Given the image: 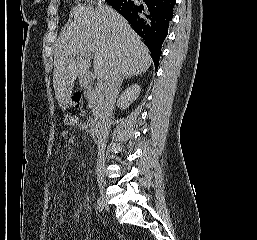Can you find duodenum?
<instances>
[{"label":"duodenum","instance_id":"1","mask_svg":"<svg viewBox=\"0 0 257 240\" xmlns=\"http://www.w3.org/2000/svg\"><path fill=\"white\" fill-rule=\"evenodd\" d=\"M107 134V126L102 121L96 122L93 129V140L97 147L103 146Z\"/></svg>","mask_w":257,"mask_h":240}]
</instances>
